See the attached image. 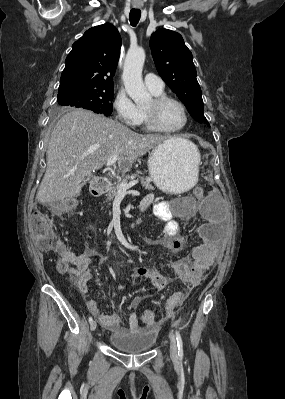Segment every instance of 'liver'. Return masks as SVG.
<instances>
[{
    "label": "liver",
    "instance_id": "6515ba94",
    "mask_svg": "<svg viewBox=\"0 0 285 399\" xmlns=\"http://www.w3.org/2000/svg\"><path fill=\"white\" fill-rule=\"evenodd\" d=\"M139 134L118 121L75 109L56 123L48 144L47 168L36 195L42 204L66 202L79 196L91 172L102 168L113 155L123 171L159 144L173 140Z\"/></svg>",
    "mask_w": 285,
    "mask_h": 399
}]
</instances>
